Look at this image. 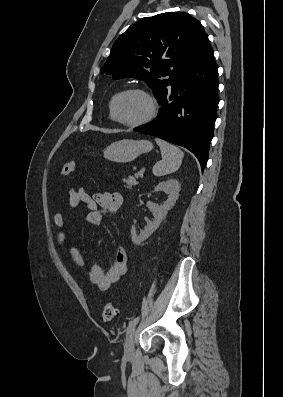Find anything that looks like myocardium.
I'll return each mask as SVG.
<instances>
[{
  "label": "myocardium",
  "instance_id": "1",
  "mask_svg": "<svg viewBox=\"0 0 283 397\" xmlns=\"http://www.w3.org/2000/svg\"><path fill=\"white\" fill-rule=\"evenodd\" d=\"M128 93L141 94L147 99V101L149 103L148 114L140 120L133 121V122L124 121V120H121L116 113V104H117L118 99L121 96L128 94ZM110 110H111V115H112V118L114 121H116L117 123H119L123 126L135 128V127H140L142 125H145V124L149 123L150 121H152L157 114L158 105H157V101H156L155 97L149 91H147L146 89L141 88V87H131V88H127L122 91H119L118 93H116L114 95V97L111 100Z\"/></svg>",
  "mask_w": 283,
  "mask_h": 397
}]
</instances>
